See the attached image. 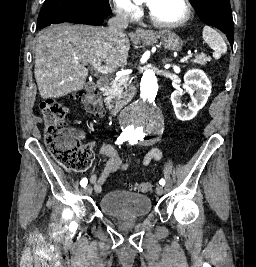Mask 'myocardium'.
Listing matches in <instances>:
<instances>
[{"mask_svg": "<svg viewBox=\"0 0 256 267\" xmlns=\"http://www.w3.org/2000/svg\"><path fill=\"white\" fill-rule=\"evenodd\" d=\"M173 3L178 4L184 11L183 17L178 20L162 26L165 29L171 30L184 25L191 16V7L186 0H170Z\"/></svg>", "mask_w": 256, "mask_h": 267, "instance_id": "obj_1", "label": "myocardium"}]
</instances>
